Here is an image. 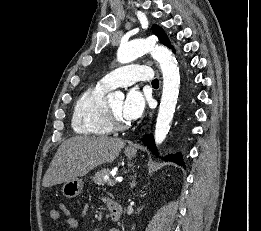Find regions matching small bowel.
<instances>
[{
  "instance_id": "small-bowel-1",
  "label": "small bowel",
  "mask_w": 261,
  "mask_h": 231,
  "mask_svg": "<svg viewBox=\"0 0 261 231\" xmlns=\"http://www.w3.org/2000/svg\"><path fill=\"white\" fill-rule=\"evenodd\" d=\"M103 201L108 204L110 202V200L104 198ZM62 204H59L57 207L53 208L50 210L49 216L52 220L54 221H60L62 220V216L64 215V219L63 222L66 225L67 228L69 229H75L78 227V221L74 218H72L69 214V211H67L66 213L62 212ZM109 231H120L116 228H112Z\"/></svg>"
}]
</instances>
